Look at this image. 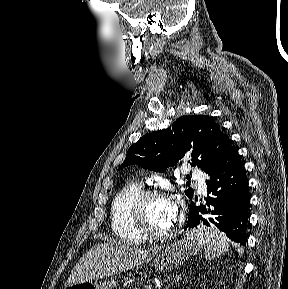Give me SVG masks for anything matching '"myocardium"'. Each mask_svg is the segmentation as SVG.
<instances>
[{"label": "myocardium", "instance_id": "f54148a6", "mask_svg": "<svg viewBox=\"0 0 288 289\" xmlns=\"http://www.w3.org/2000/svg\"><path fill=\"white\" fill-rule=\"evenodd\" d=\"M154 199H163L168 200V197L158 191L154 190H142L130 203L128 208V217L129 222L133 230L144 237L145 239L151 238V239H159L169 236L173 233L174 227H170L163 231H155L151 229L144 217V209L145 205L148 201L154 200Z\"/></svg>", "mask_w": 288, "mask_h": 289}]
</instances>
